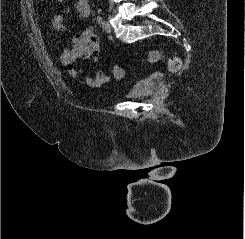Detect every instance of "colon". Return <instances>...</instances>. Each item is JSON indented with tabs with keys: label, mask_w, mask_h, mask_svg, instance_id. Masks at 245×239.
I'll list each match as a JSON object with an SVG mask.
<instances>
[{
	"label": "colon",
	"mask_w": 245,
	"mask_h": 239,
	"mask_svg": "<svg viewBox=\"0 0 245 239\" xmlns=\"http://www.w3.org/2000/svg\"><path fill=\"white\" fill-rule=\"evenodd\" d=\"M162 59V52L160 50H152L148 54V62L155 64ZM170 71L176 72L181 67V62L178 57H171L168 61ZM114 74L116 77H123L125 75L124 68L120 65L114 67Z\"/></svg>",
	"instance_id": "colon-1"
}]
</instances>
